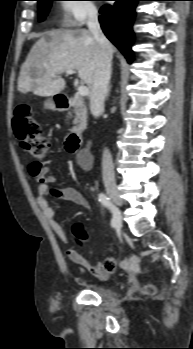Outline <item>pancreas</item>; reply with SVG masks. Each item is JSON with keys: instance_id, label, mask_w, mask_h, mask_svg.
Instances as JSON below:
<instances>
[{"instance_id": "1", "label": "pancreas", "mask_w": 193, "mask_h": 349, "mask_svg": "<svg viewBox=\"0 0 193 349\" xmlns=\"http://www.w3.org/2000/svg\"><path fill=\"white\" fill-rule=\"evenodd\" d=\"M73 112L76 114L73 130H84L87 125V108L81 96L75 95L73 98Z\"/></svg>"}]
</instances>
